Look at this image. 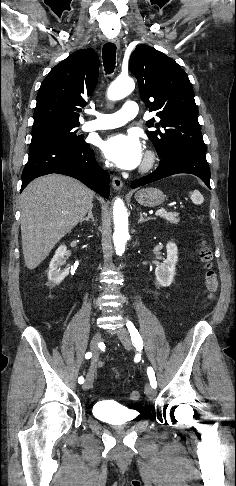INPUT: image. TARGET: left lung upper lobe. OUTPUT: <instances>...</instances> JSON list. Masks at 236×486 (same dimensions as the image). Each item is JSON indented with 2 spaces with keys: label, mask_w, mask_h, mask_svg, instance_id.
<instances>
[{
  "label": "left lung upper lobe",
  "mask_w": 236,
  "mask_h": 486,
  "mask_svg": "<svg viewBox=\"0 0 236 486\" xmlns=\"http://www.w3.org/2000/svg\"><path fill=\"white\" fill-rule=\"evenodd\" d=\"M129 68L137 78L140 95L159 121L150 119L147 131L159 158L185 149L205 152L194 91L186 72L162 52L141 44L130 57Z\"/></svg>",
  "instance_id": "left-lung-upper-lobe-1"
}]
</instances>
